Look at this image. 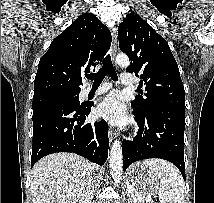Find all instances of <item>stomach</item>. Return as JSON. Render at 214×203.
<instances>
[{"mask_svg": "<svg viewBox=\"0 0 214 203\" xmlns=\"http://www.w3.org/2000/svg\"><path fill=\"white\" fill-rule=\"evenodd\" d=\"M127 180L133 190L142 197L155 195L160 190L161 182L158 174L140 162L129 168Z\"/></svg>", "mask_w": 214, "mask_h": 203, "instance_id": "1", "label": "stomach"}]
</instances>
